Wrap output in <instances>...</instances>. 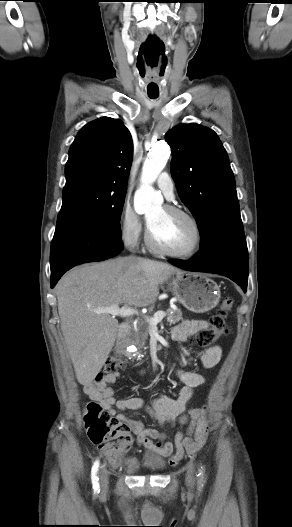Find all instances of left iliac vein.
<instances>
[{"mask_svg":"<svg viewBox=\"0 0 292 527\" xmlns=\"http://www.w3.org/2000/svg\"><path fill=\"white\" fill-rule=\"evenodd\" d=\"M193 474H194V470L192 467L189 468L188 470V474H187V485L189 487H191L193 485Z\"/></svg>","mask_w":292,"mask_h":527,"instance_id":"obj_1","label":"left iliac vein"}]
</instances>
